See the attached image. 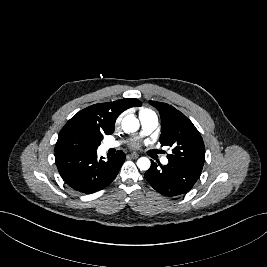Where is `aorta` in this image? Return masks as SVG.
Returning <instances> with one entry per match:
<instances>
[{"label":"aorta","mask_w":267,"mask_h":267,"mask_svg":"<svg viewBox=\"0 0 267 267\" xmlns=\"http://www.w3.org/2000/svg\"><path fill=\"white\" fill-rule=\"evenodd\" d=\"M139 126V120L132 115H127L122 120V129L126 133L136 132ZM137 166L140 170L146 171L150 168L151 162L147 157H141L137 160Z\"/></svg>","instance_id":"aorta-1"}]
</instances>
